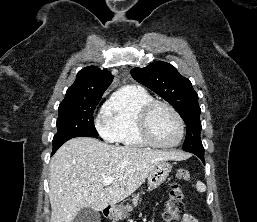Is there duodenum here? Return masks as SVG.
<instances>
[{"instance_id": "obj_1", "label": "duodenum", "mask_w": 257, "mask_h": 222, "mask_svg": "<svg viewBox=\"0 0 257 222\" xmlns=\"http://www.w3.org/2000/svg\"><path fill=\"white\" fill-rule=\"evenodd\" d=\"M110 213H111V208L108 206V207H106V208L104 209V214H105L106 216H109Z\"/></svg>"}]
</instances>
